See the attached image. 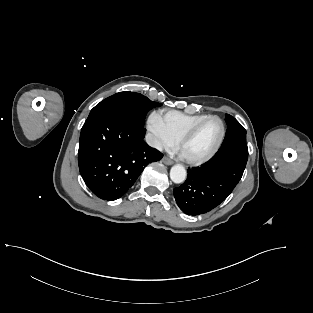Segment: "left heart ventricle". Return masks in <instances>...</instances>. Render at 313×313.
<instances>
[{"label": "left heart ventricle", "instance_id": "left-heart-ventricle-1", "mask_svg": "<svg viewBox=\"0 0 313 313\" xmlns=\"http://www.w3.org/2000/svg\"><path fill=\"white\" fill-rule=\"evenodd\" d=\"M221 132L220 123L216 119L206 121L184 143L181 153L187 158H200L207 155L216 145Z\"/></svg>", "mask_w": 313, "mask_h": 313}]
</instances>
